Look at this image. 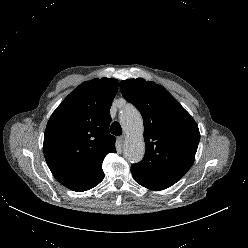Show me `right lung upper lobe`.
I'll return each instance as SVG.
<instances>
[{"label": "right lung upper lobe", "instance_id": "cb5924a9", "mask_svg": "<svg viewBox=\"0 0 248 248\" xmlns=\"http://www.w3.org/2000/svg\"><path fill=\"white\" fill-rule=\"evenodd\" d=\"M117 88L118 81L112 78L84 82L63 100L47 123L45 160L53 176L73 191L98 185L104 178V157L116 152L109 125Z\"/></svg>", "mask_w": 248, "mask_h": 248}]
</instances>
